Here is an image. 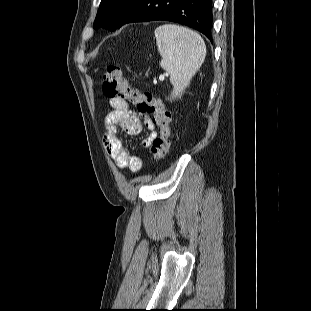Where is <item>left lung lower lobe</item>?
Listing matches in <instances>:
<instances>
[{
  "label": "left lung lower lobe",
  "mask_w": 311,
  "mask_h": 311,
  "mask_svg": "<svg viewBox=\"0 0 311 311\" xmlns=\"http://www.w3.org/2000/svg\"><path fill=\"white\" fill-rule=\"evenodd\" d=\"M156 20L189 26L212 40V0H132L116 29L127 23Z\"/></svg>",
  "instance_id": "0a47b994"
}]
</instances>
